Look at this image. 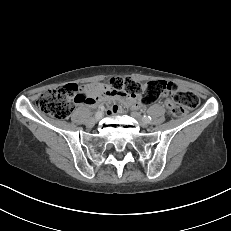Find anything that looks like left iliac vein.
Masks as SVG:
<instances>
[{
  "instance_id": "1",
  "label": "left iliac vein",
  "mask_w": 231,
  "mask_h": 231,
  "mask_svg": "<svg viewBox=\"0 0 231 231\" xmlns=\"http://www.w3.org/2000/svg\"><path fill=\"white\" fill-rule=\"evenodd\" d=\"M132 116L138 121L141 127L146 128L148 126V122L145 121L144 118H142L139 113L133 112Z\"/></svg>"
}]
</instances>
